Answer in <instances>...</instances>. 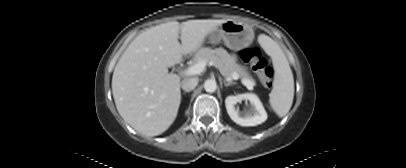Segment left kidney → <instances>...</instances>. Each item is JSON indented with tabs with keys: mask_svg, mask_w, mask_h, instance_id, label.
I'll return each instance as SVG.
<instances>
[{
	"mask_svg": "<svg viewBox=\"0 0 406 168\" xmlns=\"http://www.w3.org/2000/svg\"><path fill=\"white\" fill-rule=\"evenodd\" d=\"M242 100H248L250 102V110L240 112L239 109L236 108V104ZM225 106L230 118L241 126H256L267 120V113L260 99L253 93L228 96L225 99Z\"/></svg>",
	"mask_w": 406,
	"mask_h": 168,
	"instance_id": "left-kidney-1",
	"label": "left kidney"
}]
</instances>
